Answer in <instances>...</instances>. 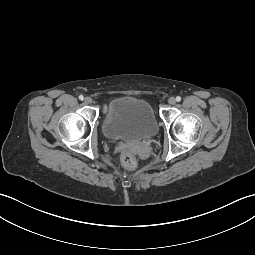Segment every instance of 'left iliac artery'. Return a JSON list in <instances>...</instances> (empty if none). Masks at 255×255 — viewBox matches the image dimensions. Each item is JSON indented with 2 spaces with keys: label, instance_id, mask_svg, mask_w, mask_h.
Masks as SVG:
<instances>
[{
  "label": "left iliac artery",
  "instance_id": "left-iliac-artery-1",
  "mask_svg": "<svg viewBox=\"0 0 255 255\" xmlns=\"http://www.w3.org/2000/svg\"><path fill=\"white\" fill-rule=\"evenodd\" d=\"M176 101H177V102H180V101H181V97H180V96H177V97H176Z\"/></svg>",
  "mask_w": 255,
  "mask_h": 255
}]
</instances>
